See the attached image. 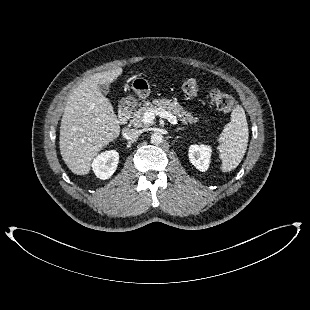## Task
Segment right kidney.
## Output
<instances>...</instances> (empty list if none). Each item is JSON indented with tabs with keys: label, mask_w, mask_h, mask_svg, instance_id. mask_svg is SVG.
<instances>
[{
	"label": "right kidney",
	"mask_w": 310,
	"mask_h": 310,
	"mask_svg": "<svg viewBox=\"0 0 310 310\" xmlns=\"http://www.w3.org/2000/svg\"><path fill=\"white\" fill-rule=\"evenodd\" d=\"M119 163V154L116 150L102 152L93 159L92 170L102 180L110 178L116 171Z\"/></svg>",
	"instance_id": "1"
}]
</instances>
